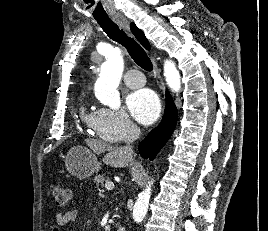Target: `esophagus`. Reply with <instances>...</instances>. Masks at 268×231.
I'll use <instances>...</instances> for the list:
<instances>
[{"mask_svg": "<svg viewBox=\"0 0 268 231\" xmlns=\"http://www.w3.org/2000/svg\"><path fill=\"white\" fill-rule=\"evenodd\" d=\"M112 19L114 22H116L121 28L128 30L129 29V22L126 17H124L121 14H115L112 16ZM152 63H153V71L155 76L157 77V82L159 84V87L161 90H164V82L162 80V77L160 75V70L158 69L157 63L155 59L152 57Z\"/></svg>", "mask_w": 268, "mask_h": 231, "instance_id": "obj_1", "label": "esophagus"}]
</instances>
